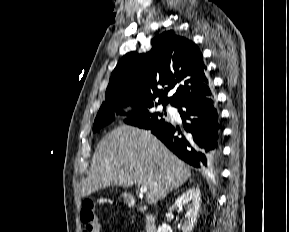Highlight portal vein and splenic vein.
<instances>
[{
    "mask_svg": "<svg viewBox=\"0 0 289 232\" xmlns=\"http://www.w3.org/2000/svg\"><path fill=\"white\" fill-rule=\"evenodd\" d=\"M147 187L146 186H141L140 188V193L143 194V193H146L147 192Z\"/></svg>",
    "mask_w": 289,
    "mask_h": 232,
    "instance_id": "obj_1",
    "label": "portal vein and splenic vein"
}]
</instances>
